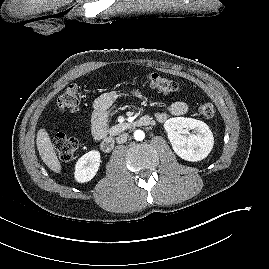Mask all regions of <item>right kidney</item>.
I'll use <instances>...</instances> for the list:
<instances>
[{"label":"right kidney","instance_id":"obj_1","mask_svg":"<svg viewBox=\"0 0 269 269\" xmlns=\"http://www.w3.org/2000/svg\"><path fill=\"white\" fill-rule=\"evenodd\" d=\"M100 153L92 150L81 156L75 165V180L85 183L93 179L100 166Z\"/></svg>","mask_w":269,"mask_h":269}]
</instances>
